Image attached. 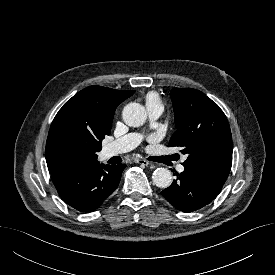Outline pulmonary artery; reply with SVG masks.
Listing matches in <instances>:
<instances>
[{"instance_id": "pulmonary-artery-1", "label": "pulmonary artery", "mask_w": 275, "mask_h": 275, "mask_svg": "<svg viewBox=\"0 0 275 275\" xmlns=\"http://www.w3.org/2000/svg\"><path fill=\"white\" fill-rule=\"evenodd\" d=\"M146 108L149 114V117L152 120H155L160 117L163 112V105L161 103H148ZM143 136L138 133L127 134L105 147L104 154L106 157H112L121 153L128 152L136 148L142 142ZM179 172L184 171V166L179 164L177 167Z\"/></svg>"}]
</instances>
